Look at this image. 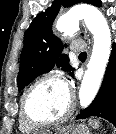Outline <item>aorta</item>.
<instances>
[{
	"instance_id": "762f6f07",
	"label": "aorta",
	"mask_w": 116,
	"mask_h": 134,
	"mask_svg": "<svg viewBox=\"0 0 116 134\" xmlns=\"http://www.w3.org/2000/svg\"><path fill=\"white\" fill-rule=\"evenodd\" d=\"M79 20H84L94 39L92 54L79 90L80 105L85 108L95 98L104 76L111 52V33L103 14L90 5H78L63 14L58 19L57 30L64 32L75 29Z\"/></svg>"
}]
</instances>
